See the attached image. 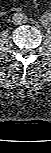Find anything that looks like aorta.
I'll return each instance as SVG.
<instances>
[{"label": "aorta", "mask_w": 51, "mask_h": 153, "mask_svg": "<svg viewBox=\"0 0 51 153\" xmlns=\"http://www.w3.org/2000/svg\"><path fill=\"white\" fill-rule=\"evenodd\" d=\"M41 22L44 27L49 28L51 26V17L49 15H43Z\"/></svg>", "instance_id": "762f6f07"}]
</instances>
